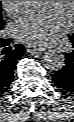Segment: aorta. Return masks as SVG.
<instances>
[{"label": "aorta", "instance_id": "1", "mask_svg": "<svg viewBox=\"0 0 74 122\" xmlns=\"http://www.w3.org/2000/svg\"><path fill=\"white\" fill-rule=\"evenodd\" d=\"M47 1H29V5L34 8H41L46 5ZM43 65L46 69L57 71L65 65V56L57 50H48L43 55Z\"/></svg>", "mask_w": 74, "mask_h": 122}]
</instances>
